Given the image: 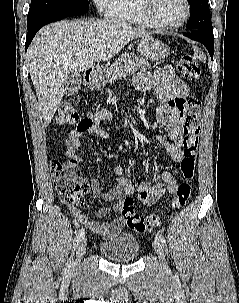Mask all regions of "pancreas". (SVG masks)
Here are the masks:
<instances>
[{
    "mask_svg": "<svg viewBox=\"0 0 239 303\" xmlns=\"http://www.w3.org/2000/svg\"><path fill=\"white\" fill-rule=\"evenodd\" d=\"M149 67L147 60L139 58L134 53H123L106 71L105 78L107 82L113 84L118 79Z\"/></svg>",
    "mask_w": 239,
    "mask_h": 303,
    "instance_id": "pancreas-1",
    "label": "pancreas"
}]
</instances>
